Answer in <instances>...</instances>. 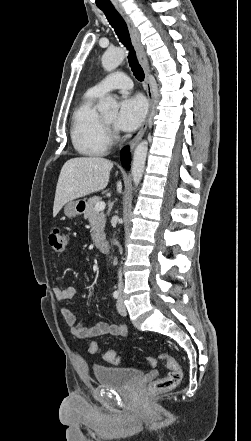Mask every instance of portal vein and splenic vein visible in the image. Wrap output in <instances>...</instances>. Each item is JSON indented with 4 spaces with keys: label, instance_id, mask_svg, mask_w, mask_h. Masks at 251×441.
Returning a JSON list of instances; mask_svg holds the SVG:
<instances>
[{
    "label": "portal vein and splenic vein",
    "instance_id": "obj_1",
    "mask_svg": "<svg viewBox=\"0 0 251 441\" xmlns=\"http://www.w3.org/2000/svg\"><path fill=\"white\" fill-rule=\"evenodd\" d=\"M105 206H106L105 202H103V201H99V202H97V203L95 204V210H96V211H102V210L105 209Z\"/></svg>",
    "mask_w": 251,
    "mask_h": 441
}]
</instances>
